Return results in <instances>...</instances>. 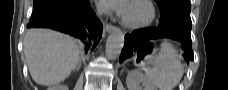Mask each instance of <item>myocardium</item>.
Segmentation results:
<instances>
[{
	"instance_id": "1",
	"label": "myocardium",
	"mask_w": 228,
	"mask_h": 90,
	"mask_svg": "<svg viewBox=\"0 0 228 90\" xmlns=\"http://www.w3.org/2000/svg\"><path fill=\"white\" fill-rule=\"evenodd\" d=\"M136 2L143 3L148 7L149 16L147 17V19L143 20L142 22H138V23L130 22L128 19H126L124 16H122V23L124 26H126L128 28H132V29L145 28L154 22V20L156 18V9H155L152 1H150V0H130V1H128V4H132V3H136Z\"/></svg>"
}]
</instances>
